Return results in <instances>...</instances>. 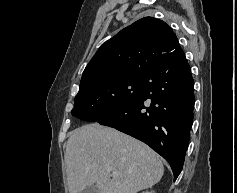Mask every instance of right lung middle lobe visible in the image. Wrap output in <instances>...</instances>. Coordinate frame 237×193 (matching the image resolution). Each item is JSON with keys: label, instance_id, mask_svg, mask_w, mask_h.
Wrapping results in <instances>:
<instances>
[{"label": "right lung middle lobe", "instance_id": "obj_1", "mask_svg": "<svg viewBox=\"0 0 237 193\" xmlns=\"http://www.w3.org/2000/svg\"><path fill=\"white\" fill-rule=\"evenodd\" d=\"M144 77H122L100 81L79 89L72 115L97 121L123 108L139 94Z\"/></svg>", "mask_w": 237, "mask_h": 193}]
</instances>
